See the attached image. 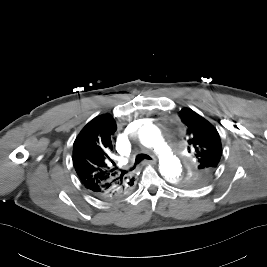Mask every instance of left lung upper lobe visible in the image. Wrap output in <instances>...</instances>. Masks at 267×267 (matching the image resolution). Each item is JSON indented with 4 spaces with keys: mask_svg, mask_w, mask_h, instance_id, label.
<instances>
[{
    "mask_svg": "<svg viewBox=\"0 0 267 267\" xmlns=\"http://www.w3.org/2000/svg\"><path fill=\"white\" fill-rule=\"evenodd\" d=\"M187 128L188 150L195 155L194 164L180 182L183 188L206 185L214 176L222 155L220 136L215 127L189 108L179 112Z\"/></svg>",
    "mask_w": 267,
    "mask_h": 267,
    "instance_id": "1",
    "label": "left lung upper lobe"
}]
</instances>
